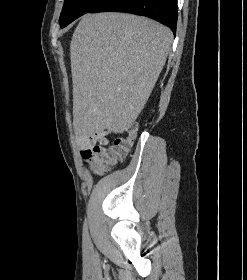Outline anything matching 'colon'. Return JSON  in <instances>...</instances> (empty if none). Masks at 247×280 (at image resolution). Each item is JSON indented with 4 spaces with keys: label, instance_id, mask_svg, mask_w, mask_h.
Returning a JSON list of instances; mask_svg holds the SVG:
<instances>
[{
    "label": "colon",
    "instance_id": "5ec220e1",
    "mask_svg": "<svg viewBox=\"0 0 247 280\" xmlns=\"http://www.w3.org/2000/svg\"><path fill=\"white\" fill-rule=\"evenodd\" d=\"M137 127L132 124L128 128V137L117 138L108 146H95L84 158L96 173L105 172L110 165L122 159L128 152L135 136Z\"/></svg>",
    "mask_w": 247,
    "mask_h": 280
}]
</instances>
